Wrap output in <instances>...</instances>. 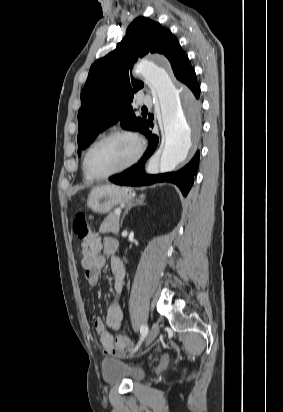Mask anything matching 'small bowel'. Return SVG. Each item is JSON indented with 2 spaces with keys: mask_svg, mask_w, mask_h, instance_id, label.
I'll use <instances>...</instances> for the list:
<instances>
[{
  "mask_svg": "<svg viewBox=\"0 0 283 412\" xmlns=\"http://www.w3.org/2000/svg\"><path fill=\"white\" fill-rule=\"evenodd\" d=\"M99 247L96 257L89 261L82 259L81 265L87 282L96 286L100 279L101 270L105 264V259L99 254L102 250L107 256H110V270L113 276L112 291L115 296L109 304L106 312L105 321L97 318L94 321V328L97 332L99 343L107 355L121 356L122 352L116 351L113 347V332L117 331L123 320V311L118 301V297L123 287L125 269L122 261L114 256L117 249V242L113 238H104L102 241L98 238Z\"/></svg>",
  "mask_w": 283,
  "mask_h": 412,
  "instance_id": "obj_1",
  "label": "small bowel"
}]
</instances>
